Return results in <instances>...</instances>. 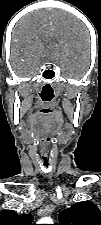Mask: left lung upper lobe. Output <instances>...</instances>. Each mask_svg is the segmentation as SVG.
<instances>
[{"label":"left lung upper lobe","instance_id":"left-lung-upper-lobe-1","mask_svg":"<svg viewBox=\"0 0 101 225\" xmlns=\"http://www.w3.org/2000/svg\"><path fill=\"white\" fill-rule=\"evenodd\" d=\"M58 225H101V211L88 201L73 204L59 215Z\"/></svg>","mask_w":101,"mask_h":225}]
</instances>
